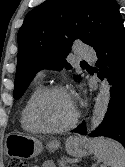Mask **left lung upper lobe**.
I'll return each instance as SVG.
<instances>
[{"label": "left lung upper lobe", "mask_w": 125, "mask_h": 167, "mask_svg": "<svg viewBox=\"0 0 125 167\" xmlns=\"http://www.w3.org/2000/svg\"><path fill=\"white\" fill-rule=\"evenodd\" d=\"M120 16L115 0H46L28 12L17 37L14 98L23 95L40 69H70L65 57L72 42L96 46Z\"/></svg>", "instance_id": "left-lung-upper-lobe-1"}]
</instances>
